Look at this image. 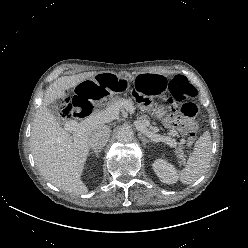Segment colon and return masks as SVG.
<instances>
[{
    "instance_id": "1",
    "label": "colon",
    "mask_w": 248,
    "mask_h": 248,
    "mask_svg": "<svg viewBox=\"0 0 248 248\" xmlns=\"http://www.w3.org/2000/svg\"><path fill=\"white\" fill-rule=\"evenodd\" d=\"M169 92L172 98L178 102H183L180 107V113L183 116L184 120L180 121L182 124L189 123L192 124V128L189 129L187 134L188 145L192 146L196 141V132H195V117L197 115V106L195 103L190 101L193 98L197 91L193 85H191L188 80L181 76H175L171 82L168 84ZM146 94L141 90L135 91V97L138 101L142 102L146 100ZM81 105L77 102H63L61 106V115L64 119H71L75 116H80L77 107Z\"/></svg>"
}]
</instances>
